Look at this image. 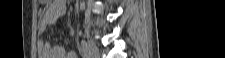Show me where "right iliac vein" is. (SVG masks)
Here are the masks:
<instances>
[{
    "mask_svg": "<svg viewBox=\"0 0 225 58\" xmlns=\"http://www.w3.org/2000/svg\"><path fill=\"white\" fill-rule=\"evenodd\" d=\"M86 48L88 51V55L92 58H98L99 57V50L96 46V44L92 40H87L85 42Z\"/></svg>",
    "mask_w": 225,
    "mask_h": 58,
    "instance_id": "63e3f726",
    "label": "right iliac vein"
}]
</instances>
